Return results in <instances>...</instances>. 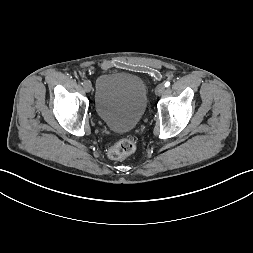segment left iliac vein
<instances>
[{
  "instance_id": "obj_1",
  "label": "left iliac vein",
  "mask_w": 253,
  "mask_h": 253,
  "mask_svg": "<svg viewBox=\"0 0 253 253\" xmlns=\"http://www.w3.org/2000/svg\"><path fill=\"white\" fill-rule=\"evenodd\" d=\"M166 87L163 83H160L157 85L156 89H155V94L160 96L161 94L164 93Z\"/></svg>"
}]
</instances>
